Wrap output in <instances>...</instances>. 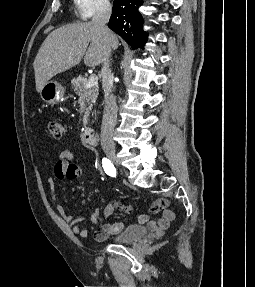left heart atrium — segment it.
<instances>
[{
  "label": "left heart atrium",
  "instance_id": "1",
  "mask_svg": "<svg viewBox=\"0 0 255 287\" xmlns=\"http://www.w3.org/2000/svg\"><path fill=\"white\" fill-rule=\"evenodd\" d=\"M113 13H118L117 11ZM77 33H92V32H77ZM75 39H90V38H75ZM81 48H88V47H81Z\"/></svg>",
  "mask_w": 255,
  "mask_h": 287
}]
</instances>
